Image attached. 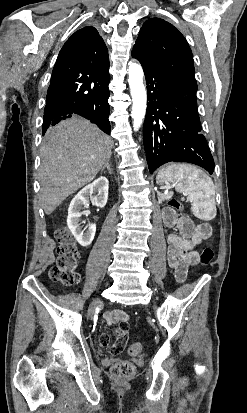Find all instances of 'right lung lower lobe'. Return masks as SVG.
Masks as SVG:
<instances>
[{
	"label": "right lung lower lobe",
	"instance_id": "1",
	"mask_svg": "<svg viewBox=\"0 0 247 413\" xmlns=\"http://www.w3.org/2000/svg\"><path fill=\"white\" fill-rule=\"evenodd\" d=\"M108 69L91 73L53 70L44 109L43 134L49 126L73 114L90 120L110 134Z\"/></svg>",
	"mask_w": 247,
	"mask_h": 413
}]
</instances>
